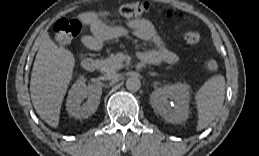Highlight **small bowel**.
<instances>
[{"label": "small bowel", "instance_id": "small-bowel-1", "mask_svg": "<svg viewBox=\"0 0 259 156\" xmlns=\"http://www.w3.org/2000/svg\"><path fill=\"white\" fill-rule=\"evenodd\" d=\"M108 15L107 11H88L80 15L81 22L91 32V35H86L82 39L86 48L92 49L105 39L121 37L131 32L137 38L154 45L153 50L142 53L141 58L144 62L174 63L177 60V56L166 47L150 21L135 18L128 20L125 25H108Z\"/></svg>", "mask_w": 259, "mask_h": 156}]
</instances>
